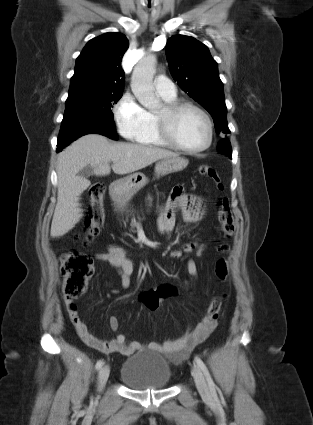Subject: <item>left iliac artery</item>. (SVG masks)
Masks as SVG:
<instances>
[{
  "label": "left iliac artery",
  "instance_id": "44dca946",
  "mask_svg": "<svg viewBox=\"0 0 313 425\" xmlns=\"http://www.w3.org/2000/svg\"><path fill=\"white\" fill-rule=\"evenodd\" d=\"M195 362L200 367V369L202 370L204 376L206 377V380L208 382V386H209L211 395L212 396H216V389H215L216 386H215V384H214V382H213V380H212V378L210 376V373H209L206 365L204 364V362L198 356L195 357Z\"/></svg>",
  "mask_w": 313,
  "mask_h": 425
}]
</instances>
